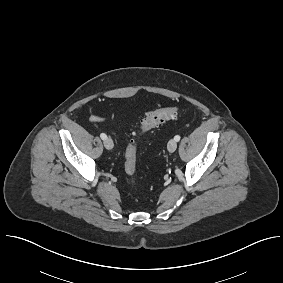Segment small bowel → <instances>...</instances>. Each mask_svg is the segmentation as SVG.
<instances>
[{
	"mask_svg": "<svg viewBox=\"0 0 283 283\" xmlns=\"http://www.w3.org/2000/svg\"><path fill=\"white\" fill-rule=\"evenodd\" d=\"M89 120L90 122H93V123H100L104 121V117L99 116V115H91Z\"/></svg>",
	"mask_w": 283,
	"mask_h": 283,
	"instance_id": "obj_1",
	"label": "small bowel"
}]
</instances>
